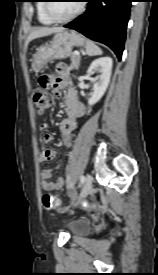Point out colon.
Here are the masks:
<instances>
[{
	"label": "colon",
	"mask_w": 158,
	"mask_h": 275,
	"mask_svg": "<svg viewBox=\"0 0 158 275\" xmlns=\"http://www.w3.org/2000/svg\"><path fill=\"white\" fill-rule=\"evenodd\" d=\"M49 80L41 77L39 79V88L33 93L35 111L38 115H44L53 103V95L48 91ZM42 203L46 210H61L60 201L51 194H44Z\"/></svg>",
	"instance_id": "obj_1"
}]
</instances>
